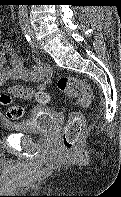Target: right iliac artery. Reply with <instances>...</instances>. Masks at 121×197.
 I'll list each match as a JSON object with an SVG mask.
<instances>
[{
	"instance_id": "82829eb1",
	"label": "right iliac artery",
	"mask_w": 121,
	"mask_h": 197,
	"mask_svg": "<svg viewBox=\"0 0 121 197\" xmlns=\"http://www.w3.org/2000/svg\"><path fill=\"white\" fill-rule=\"evenodd\" d=\"M20 25H21V28L25 35L26 40L31 43V35H30L28 22L23 20L20 22Z\"/></svg>"
}]
</instances>
